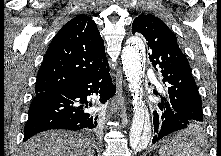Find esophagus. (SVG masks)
Instances as JSON below:
<instances>
[{"mask_svg": "<svg viewBox=\"0 0 221 156\" xmlns=\"http://www.w3.org/2000/svg\"><path fill=\"white\" fill-rule=\"evenodd\" d=\"M119 104H120V101H119V100H117V107L119 106Z\"/></svg>", "mask_w": 221, "mask_h": 156, "instance_id": "obj_1", "label": "esophagus"}]
</instances>
